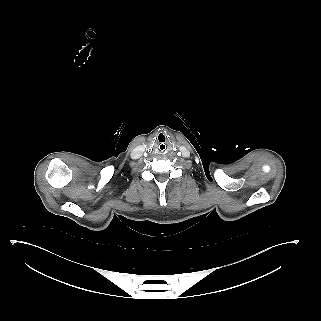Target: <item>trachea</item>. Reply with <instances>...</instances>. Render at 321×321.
<instances>
[{
	"label": "trachea",
	"instance_id": "obj_1",
	"mask_svg": "<svg viewBox=\"0 0 321 321\" xmlns=\"http://www.w3.org/2000/svg\"><path fill=\"white\" fill-rule=\"evenodd\" d=\"M157 150L160 152V153H165L167 151V146L164 144V143H159L157 145Z\"/></svg>",
	"mask_w": 321,
	"mask_h": 321
}]
</instances>
